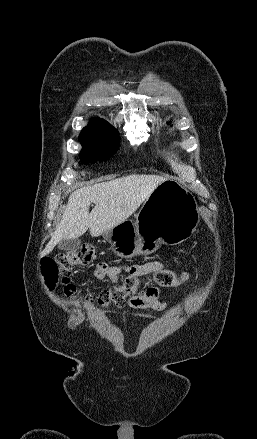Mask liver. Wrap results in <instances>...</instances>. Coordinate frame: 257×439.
<instances>
[{"mask_svg":"<svg viewBox=\"0 0 257 439\" xmlns=\"http://www.w3.org/2000/svg\"><path fill=\"white\" fill-rule=\"evenodd\" d=\"M166 178L132 174L74 191L68 199L61 221L42 251L49 254L62 239H76L89 229L98 237L127 220ZM95 207L89 213V206Z\"/></svg>","mask_w":257,"mask_h":439,"instance_id":"obj_1","label":"liver"}]
</instances>
